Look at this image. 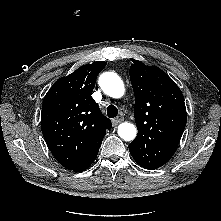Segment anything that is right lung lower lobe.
Listing matches in <instances>:
<instances>
[{
  "label": "right lung lower lobe",
  "mask_w": 221,
  "mask_h": 221,
  "mask_svg": "<svg viewBox=\"0 0 221 221\" xmlns=\"http://www.w3.org/2000/svg\"><path fill=\"white\" fill-rule=\"evenodd\" d=\"M97 154H98V150L94 154L89 156V158L86 161H84L82 164H80L79 166H77L76 168L72 170L76 172H82L86 170L91 165V163L96 159Z\"/></svg>",
  "instance_id": "right-lung-lower-lobe-1"
}]
</instances>
